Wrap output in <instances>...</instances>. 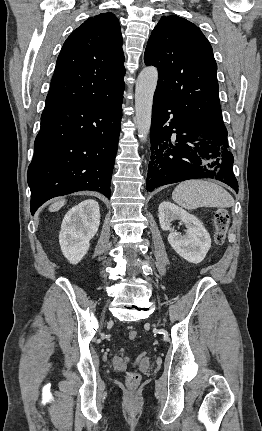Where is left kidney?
Returning a JSON list of instances; mask_svg holds the SVG:
<instances>
[{"mask_svg":"<svg viewBox=\"0 0 262 431\" xmlns=\"http://www.w3.org/2000/svg\"><path fill=\"white\" fill-rule=\"evenodd\" d=\"M158 217L162 230L171 231L168 241L175 252L190 263L198 264L211 247V238L203 224L182 208L164 201L159 205ZM180 220L186 226V234L172 229V221Z\"/></svg>","mask_w":262,"mask_h":431,"instance_id":"left-kidney-1","label":"left kidney"}]
</instances>
